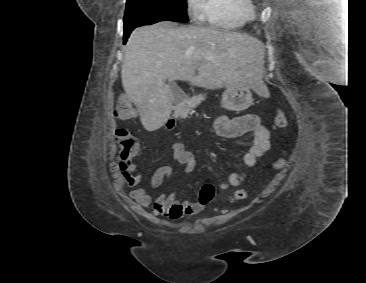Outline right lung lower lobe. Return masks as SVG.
<instances>
[{
    "mask_svg": "<svg viewBox=\"0 0 366 283\" xmlns=\"http://www.w3.org/2000/svg\"><path fill=\"white\" fill-rule=\"evenodd\" d=\"M134 28H129V29H124V44L127 41L128 36L130 35V33L132 32Z\"/></svg>",
    "mask_w": 366,
    "mask_h": 283,
    "instance_id": "right-lung-lower-lobe-1",
    "label": "right lung lower lobe"
}]
</instances>
